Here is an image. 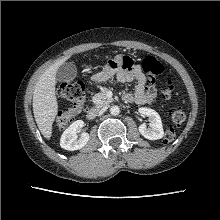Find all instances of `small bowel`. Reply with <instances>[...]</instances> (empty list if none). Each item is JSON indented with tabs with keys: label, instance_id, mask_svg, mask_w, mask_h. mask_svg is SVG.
<instances>
[{
	"label": "small bowel",
	"instance_id": "c3829d8e",
	"mask_svg": "<svg viewBox=\"0 0 220 220\" xmlns=\"http://www.w3.org/2000/svg\"><path fill=\"white\" fill-rule=\"evenodd\" d=\"M112 75H115L117 81L121 83H129L136 81L135 90L133 93H124L123 99L127 102H135L137 104H149L150 96L155 92L153 87L148 86L145 75L139 68L133 65L127 69L112 70L108 66L93 77V86L106 81Z\"/></svg>",
	"mask_w": 220,
	"mask_h": 220
}]
</instances>
